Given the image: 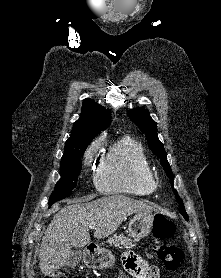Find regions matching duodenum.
I'll return each instance as SVG.
<instances>
[{"label": "duodenum", "mask_w": 221, "mask_h": 278, "mask_svg": "<svg viewBox=\"0 0 221 278\" xmlns=\"http://www.w3.org/2000/svg\"><path fill=\"white\" fill-rule=\"evenodd\" d=\"M97 250L96 245L90 244L86 247L88 257H93L95 251Z\"/></svg>", "instance_id": "1"}]
</instances>
